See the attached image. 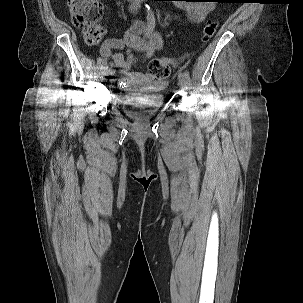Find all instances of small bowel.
Returning a JSON list of instances; mask_svg holds the SVG:
<instances>
[{"instance_id":"c3829d8e","label":"small bowel","mask_w":303,"mask_h":303,"mask_svg":"<svg viewBox=\"0 0 303 303\" xmlns=\"http://www.w3.org/2000/svg\"><path fill=\"white\" fill-rule=\"evenodd\" d=\"M139 1L135 2L132 10L135 11L139 7ZM187 1L180 6L186 11L189 19L193 22H202L209 15L213 6L204 3V0H182ZM144 33V37H141ZM162 38L154 28L145 26L142 22H135L133 26L126 31L122 38H109L100 48L101 55L106 59H113L116 67L121 69L123 75L121 83L124 86L135 84L150 90H158L165 86L166 81L158 79L149 72L133 71L132 67L139 60H146L153 57L155 52L162 48ZM128 48L125 57L121 50ZM131 50L139 53L134 55Z\"/></svg>"}]
</instances>
